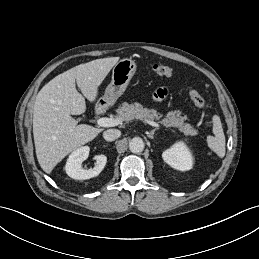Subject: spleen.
<instances>
[{"label":"spleen","instance_id":"1","mask_svg":"<svg viewBox=\"0 0 259 259\" xmlns=\"http://www.w3.org/2000/svg\"><path fill=\"white\" fill-rule=\"evenodd\" d=\"M214 137L208 139V146L220 157L225 155V136L219 120L213 121Z\"/></svg>","mask_w":259,"mask_h":259}]
</instances>
